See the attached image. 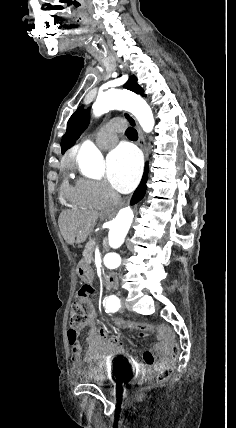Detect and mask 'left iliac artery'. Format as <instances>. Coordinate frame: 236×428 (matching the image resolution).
Segmentation results:
<instances>
[{"mask_svg":"<svg viewBox=\"0 0 236 428\" xmlns=\"http://www.w3.org/2000/svg\"><path fill=\"white\" fill-rule=\"evenodd\" d=\"M103 306H105V308H106V310H105L106 313L116 312L121 307L120 299L118 297H116L115 295L106 297L103 300Z\"/></svg>","mask_w":236,"mask_h":428,"instance_id":"obj_1","label":"left iliac artery"}]
</instances>
